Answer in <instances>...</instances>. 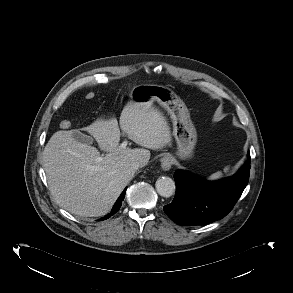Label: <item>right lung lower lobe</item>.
<instances>
[{
	"label": "right lung lower lobe",
	"mask_w": 293,
	"mask_h": 293,
	"mask_svg": "<svg viewBox=\"0 0 293 293\" xmlns=\"http://www.w3.org/2000/svg\"><path fill=\"white\" fill-rule=\"evenodd\" d=\"M125 191L126 189L122 192V194L120 195V197L118 198V200L116 201V203L114 204L112 210H111V213L106 215L105 217L101 218V220H105V219H108L109 217H111V215H114L121 207L122 205V201L125 197Z\"/></svg>",
	"instance_id": "obj_1"
}]
</instances>
